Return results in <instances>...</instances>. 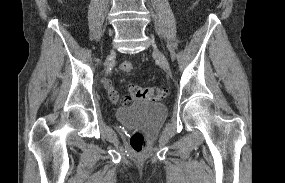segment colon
I'll return each instance as SVG.
<instances>
[{"mask_svg":"<svg viewBox=\"0 0 285 183\" xmlns=\"http://www.w3.org/2000/svg\"><path fill=\"white\" fill-rule=\"evenodd\" d=\"M120 71L125 75H130L134 71V64L130 61H124L120 64ZM130 98H124L123 103L128 104L131 99L146 100V101H159L166 96V90L160 87H141L131 86L130 87ZM110 98L113 99V96ZM130 145L132 149L140 153L144 150L147 145V139L140 132H134L130 138Z\"/></svg>","mask_w":285,"mask_h":183,"instance_id":"1","label":"colon"}]
</instances>
